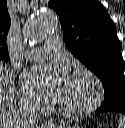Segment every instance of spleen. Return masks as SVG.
I'll return each mask as SVG.
<instances>
[{"label":"spleen","mask_w":125,"mask_h":128,"mask_svg":"<svg viewBox=\"0 0 125 128\" xmlns=\"http://www.w3.org/2000/svg\"><path fill=\"white\" fill-rule=\"evenodd\" d=\"M118 128H125V116H121L118 121Z\"/></svg>","instance_id":"3e777b00"}]
</instances>
